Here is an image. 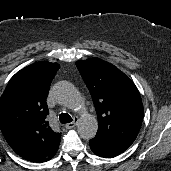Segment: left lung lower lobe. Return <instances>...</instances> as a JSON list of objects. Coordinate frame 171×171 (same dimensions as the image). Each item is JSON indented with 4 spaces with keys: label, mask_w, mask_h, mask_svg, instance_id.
<instances>
[{
    "label": "left lung lower lobe",
    "mask_w": 171,
    "mask_h": 171,
    "mask_svg": "<svg viewBox=\"0 0 171 171\" xmlns=\"http://www.w3.org/2000/svg\"><path fill=\"white\" fill-rule=\"evenodd\" d=\"M89 144H90L91 150L97 156L104 157V158H113V157L120 155L121 153L125 151L123 148L115 146L96 136L92 138L91 140H89Z\"/></svg>",
    "instance_id": "left-lung-lower-lobe-1"
}]
</instances>
